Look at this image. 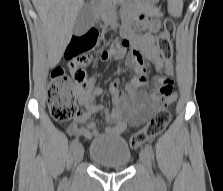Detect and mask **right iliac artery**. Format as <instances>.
Instances as JSON below:
<instances>
[{
	"label": "right iliac artery",
	"instance_id": "1",
	"mask_svg": "<svg viewBox=\"0 0 223 191\" xmlns=\"http://www.w3.org/2000/svg\"><path fill=\"white\" fill-rule=\"evenodd\" d=\"M78 143H79L78 139H73L71 142V145H70L71 149L72 150L75 149V147L78 145Z\"/></svg>",
	"mask_w": 223,
	"mask_h": 191
}]
</instances>
